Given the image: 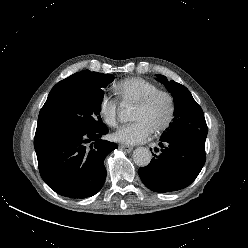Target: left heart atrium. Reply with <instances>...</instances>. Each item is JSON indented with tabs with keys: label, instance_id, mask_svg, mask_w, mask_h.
Instances as JSON below:
<instances>
[{
	"label": "left heart atrium",
	"instance_id": "obj_1",
	"mask_svg": "<svg viewBox=\"0 0 248 248\" xmlns=\"http://www.w3.org/2000/svg\"><path fill=\"white\" fill-rule=\"evenodd\" d=\"M152 133V129L141 120L121 126L113 138L127 145H134L146 141Z\"/></svg>",
	"mask_w": 248,
	"mask_h": 248
}]
</instances>
